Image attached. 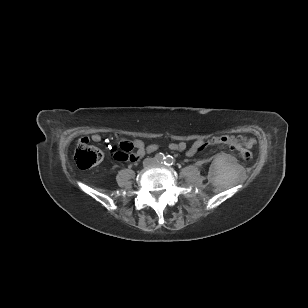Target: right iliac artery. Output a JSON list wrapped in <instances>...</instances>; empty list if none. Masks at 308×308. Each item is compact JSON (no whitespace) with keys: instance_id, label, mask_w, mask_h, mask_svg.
I'll use <instances>...</instances> for the list:
<instances>
[{"instance_id":"1","label":"right iliac artery","mask_w":308,"mask_h":308,"mask_svg":"<svg viewBox=\"0 0 308 308\" xmlns=\"http://www.w3.org/2000/svg\"><path fill=\"white\" fill-rule=\"evenodd\" d=\"M155 159H156L158 162H163V161L166 159V157L164 156L163 153H157V154L155 155Z\"/></svg>"}]
</instances>
